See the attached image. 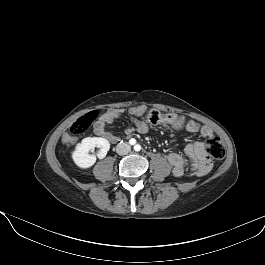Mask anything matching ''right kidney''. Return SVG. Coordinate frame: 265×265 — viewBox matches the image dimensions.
Masks as SVG:
<instances>
[{
    "instance_id": "right-kidney-1",
    "label": "right kidney",
    "mask_w": 265,
    "mask_h": 265,
    "mask_svg": "<svg viewBox=\"0 0 265 265\" xmlns=\"http://www.w3.org/2000/svg\"><path fill=\"white\" fill-rule=\"evenodd\" d=\"M95 147L100 148L97 156L102 159L109 151L110 143L105 138L100 137L84 138L81 143L76 145V148L72 153L74 163L82 169L92 167L96 162V156L90 155L89 152L94 150Z\"/></svg>"
}]
</instances>
